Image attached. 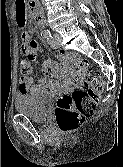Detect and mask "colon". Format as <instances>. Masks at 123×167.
I'll return each instance as SVG.
<instances>
[{"mask_svg": "<svg viewBox=\"0 0 123 167\" xmlns=\"http://www.w3.org/2000/svg\"><path fill=\"white\" fill-rule=\"evenodd\" d=\"M70 58L77 62L79 71L73 90L61 95L57 101L56 122L63 132L74 131L94 114L104 88L102 77L91 73L88 61L78 55H70ZM27 62L22 61L21 67Z\"/></svg>", "mask_w": 123, "mask_h": 167, "instance_id": "1", "label": "colon"}]
</instances>
